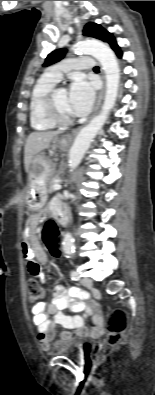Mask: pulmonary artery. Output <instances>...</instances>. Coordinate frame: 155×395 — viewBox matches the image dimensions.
Listing matches in <instances>:
<instances>
[{"label": "pulmonary artery", "instance_id": "1", "mask_svg": "<svg viewBox=\"0 0 155 395\" xmlns=\"http://www.w3.org/2000/svg\"><path fill=\"white\" fill-rule=\"evenodd\" d=\"M93 66L94 60L91 57L70 58L51 66L47 74L58 82L66 72L72 70H90Z\"/></svg>", "mask_w": 155, "mask_h": 395}]
</instances>
